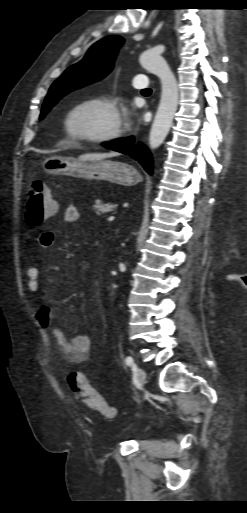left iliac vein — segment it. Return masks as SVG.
<instances>
[{"instance_id":"obj_1","label":"left iliac vein","mask_w":247,"mask_h":513,"mask_svg":"<svg viewBox=\"0 0 247 513\" xmlns=\"http://www.w3.org/2000/svg\"><path fill=\"white\" fill-rule=\"evenodd\" d=\"M137 378L141 385H144L146 381V373L142 368L137 369Z\"/></svg>"}]
</instances>
